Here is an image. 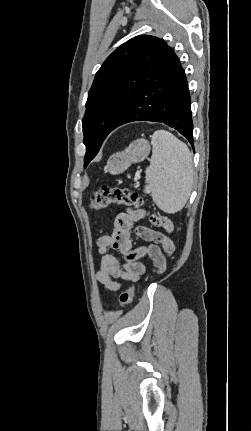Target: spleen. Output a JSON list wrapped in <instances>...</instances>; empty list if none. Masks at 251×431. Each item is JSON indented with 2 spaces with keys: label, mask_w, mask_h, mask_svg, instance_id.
<instances>
[{
  "label": "spleen",
  "mask_w": 251,
  "mask_h": 431,
  "mask_svg": "<svg viewBox=\"0 0 251 431\" xmlns=\"http://www.w3.org/2000/svg\"><path fill=\"white\" fill-rule=\"evenodd\" d=\"M151 143L144 192L151 194L161 210L174 214L185 206L192 190V154L185 143L165 130L155 131Z\"/></svg>",
  "instance_id": "1"
}]
</instances>
